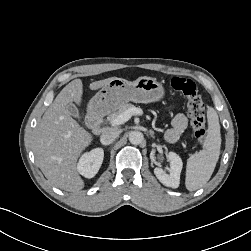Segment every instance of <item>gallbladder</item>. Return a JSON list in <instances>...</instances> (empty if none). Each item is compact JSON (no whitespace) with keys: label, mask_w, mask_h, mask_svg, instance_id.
I'll list each match as a JSON object with an SVG mask.
<instances>
[{"label":"gallbladder","mask_w":251,"mask_h":251,"mask_svg":"<svg viewBox=\"0 0 251 251\" xmlns=\"http://www.w3.org/2000/svg\"><path fill=\"white\" fill-rule=\"evenodd\" d=\"M67 110L69 111V113L73 116V117H75V118H80L79 117V112H78V109H77V107L74 105V104H69L68 106H67Z\"/></svg>","instance_id":"obj_1"}]
</instances>
